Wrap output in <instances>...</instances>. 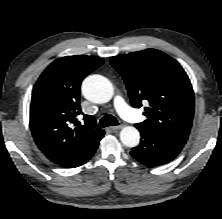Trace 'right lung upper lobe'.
I'll list each match as a JSON object with an SVG mask.
<instances>
[{
    "instance_id": "1",
    "label": "right lung upper lobe",
    "mask_w": 222,
    "mask_h": 219,
    "mask_svg": "<svg viewBox=\"0 0 222 219\" xmlns=\"http://www.w3.org/2000/svg\"><path fill=\"white\" fill-rule=\"evenodd\" d=\"M95 56H66L52 62L37 80L31 99L30 128L38 148L52 162L74 167L101 137L95 119L84 114L81 126L80 85L100 67ZM75 126V127H74Z\"/></svg>"
}]
</instances>
